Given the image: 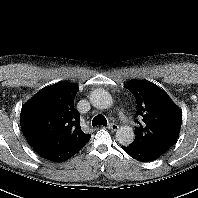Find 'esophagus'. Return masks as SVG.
I'll use <instances>...</instances> for the list:
<instances>
[{
	"label": "esophagus",
	"instance_id": "esophagus-1",
	"mask_svg": "<svg viewBox=\"0 0 198 198\" xmlns=\"http://www.w3.org/2000/svg\"><path fill=\"white\" fill-rule=\"evenodd\" d=\"M107 128L112 131H116L119 128V126L116 123H108Z\"/></svg>",
	"mask_w": 198,
	"mask_h": 198
}]
</instances>
